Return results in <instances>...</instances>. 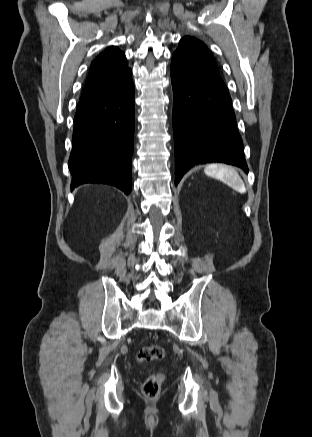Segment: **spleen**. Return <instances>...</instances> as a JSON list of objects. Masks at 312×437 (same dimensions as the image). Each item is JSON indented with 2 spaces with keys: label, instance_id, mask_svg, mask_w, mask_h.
<instances>
[{
  "label": "spleen",
  "instance_id": "1",
  "mask_svg": "<svg viewBox=\"0 0 312 437\" xmlns=\"http://www.w3.org/2000/svg\"><path fill=\"white\" fill-rule=\"evenodd\" d=\"M204 172L208 176L221 180L240 193L246 192V188L241 177L230 166L222 164H210L205 168Z\"/></svg>",
  "mask_w": 312,
  "mask_h": 437
}]
</instances>
